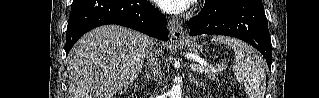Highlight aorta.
I'll return each instance as SVG.
<instances>
[{
	"mask_svg": "<svg viewBox=\"0 0 319 98\" xmlns=\"http://www.w3.org/2000/svg\"><path fill=\"white\" fill-rule=\"evenodd\" d=\"M171 98H182V90L180 84H174L170 91Z\"/></svg>",
	"mask_w": 319,
	"mask_h": 98,
	"instance_id": "aorta-1",
	"label": "aorta"
}]
</instances>
